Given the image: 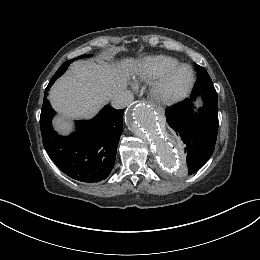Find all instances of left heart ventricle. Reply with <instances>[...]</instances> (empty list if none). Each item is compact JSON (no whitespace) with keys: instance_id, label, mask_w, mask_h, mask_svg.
I'll use <instances>...</instances> for the list:
<instances>
[{"instance_id":"obj_1","label":"left heart ventricle","mask_w":260,"mask_h":260,"mask_svg":"<svg viewBox=\"0 0 260 260\" xmlns=\"http://www.w3.org/2000/svg\"><path fill=\"white\" fill-rule=\"evenodd\" d=\"M190 80V71L188 68H180L173 73L169 81L171 90H179L183 88Z\"/></svg>"}]
</instances>
